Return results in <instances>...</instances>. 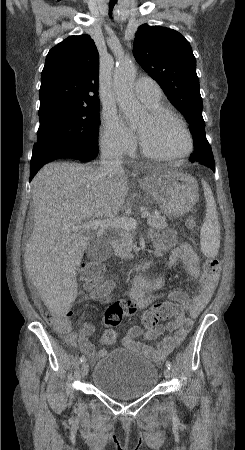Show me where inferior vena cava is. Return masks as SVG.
<instances>
[{"label":"inferior vena cava","instance_id":"obj_1","mask_svg":"<svg viewBox=\"0 0 245 450\" xmlns=\"http://www.w3.org/2000/svg\"><path fill=\"white\" fill-rule=\"evenodd\" d=\"M122 152L120 148L106 147L101 152L100 167L97 169L99 177L104 178L109 174L122 169Z\"/></svg>","mask_w":245,"mask_h":450}]
</instances>
